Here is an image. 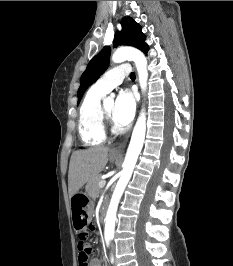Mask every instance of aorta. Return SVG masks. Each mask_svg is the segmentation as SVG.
I'll list each match as a JSON object with an SVG mask.
<instances>
[{
    "label": "aorta",
    "instance_id": "762f6f07",
    "mask_svg": "<svg viewBox=\"0 0 233 266\" xmlns=\"http://www.w3.org/2000/svg\"><path fill=\"white\" fill-rule=\"evenodd\" d=\"M111 59L114 63H122L126 60L134 61L138 72L141 90L142 92L146 91L147 79H148L147 59L140 50L131 47L119 48L113 53ZM110 97L113 98L114 95L111 94ZM145 133H146V112L145 109L143 108L135 124L130 144L123 163V170L121 171L120 178L113 192L108 207V211L106 214V219H105L106 239H112L114 236L118 204L126 188V185L128 184L131 178L138 156L143 147Z\"/></svg>",
    "mask_w": 233,
    "mask_h": 266
}]
</instances>
